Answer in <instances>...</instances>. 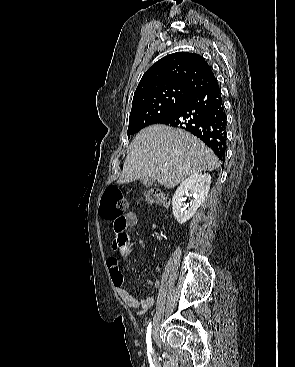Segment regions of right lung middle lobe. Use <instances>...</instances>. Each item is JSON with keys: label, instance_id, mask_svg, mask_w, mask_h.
Instances as JSON below:
<instances>
[{"label": "right lung middle lobe", "instance_id": "1", "mask_svg": "<svg viewBox=\"0 0 295 367\" xmlns=\"http://www.w3.org/2000/svg\"><path fill=\"white\" fill-rule=\"evenodd\" d=\"M191 94L186 90L171 89L136 100L132 103L127 135L130 136L148 125L158 123Z\"/></svg>", "mask_w": 295, "mask_h": 367}]
</instances>
